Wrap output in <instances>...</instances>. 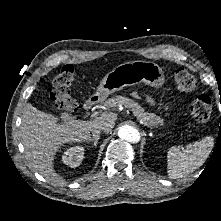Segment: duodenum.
<instances>
[{
  "label": "duodenum",
  "mask_w": 221,
  "mask_h": 221,
  "mask_svg": "<svg viewBox=\"0 0 221 221\" xmlns=\"http://www.w3.org/2000/svg\"><path fill=\"white\" fill-rule=\"evenodd\" d=\"M97 103V99L94 97L89 98L88 100L85 101L83 104V110L84 111H89L90 109L93 108V106Z\"/></svg>",
  "instance_id": "duodenum-1"
}]
</instances>
